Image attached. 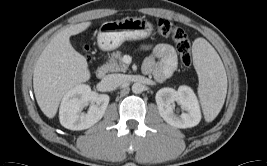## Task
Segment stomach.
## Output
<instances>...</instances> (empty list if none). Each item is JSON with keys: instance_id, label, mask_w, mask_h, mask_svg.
Listing matches in <instances>:
<instances>
[{"instance_id": "0dacf381", "label": "stomach", "mask_w": 267, "mask_h": 166, "mask_svg": "<svg viewBox=\"0 0 267 166\" xmlns=\"http://www.w3.org/2000/svg\"><path fill=\"white\" fill-rule=\"evenodd\" d=\"M152 30L153 26L149 21L136 17L105 22L102 24V30L98 33V46L103 51L114 50L127 40L147 38Z\"/></svg>"}]
</instances>
